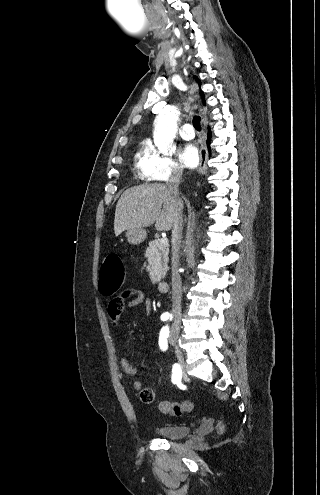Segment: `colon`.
<instances>
[{"instance_id": "5ec220e1", "label": "colon", "mask_w": 320, "mask_h": 495, "mask_svg": "<svg viewBox=\"0 0 320 495\" xmlns=\"http://www.w3.org/2000/svg\"><path fill=\"white\" fill-rule=\"evenodd\" d=\"M124 280V266L121 258L116 254H108L102 261L99 270V289L104 294L116 292L122 285ZM127 295L124 293L119 296L120 301L124 300ZM155 394L152 389L144 388L140 392V400L145 404H150L154 401ZM193 403L190 401L170 402L162 401L159 403V410L162 413L173 416H182L190 413L193 410ZM218 432L224 431V426L219 423L217 426Z\"/></svg>"}]
</instances>
